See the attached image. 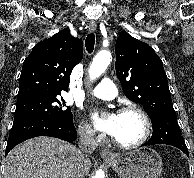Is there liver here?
Wrapping results in <instances>:
<instances>
[{
    "label": "liver",
    "mask_w": 194,
    "mask_h": 178,
    "mask_svg": "<svg viewBox=\"0 0 194 178\" xmlns=\"http://www.w3.org/2000/svg\"><path fill=\"white\" fill-rule=\"evenodd\" d=\"M79 161L74 145L53 137H36L10 151L3 178H72ZM90 168L88 160L85 173Z\"/></svg>",
    "instance_id": "obj_1"
}]
</instances>
